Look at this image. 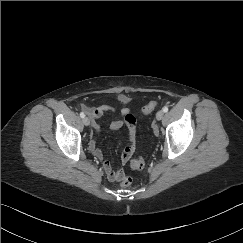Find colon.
<instances>
[{
	"label": "colon",
	"instance_id": "obj_1",
	"mask_svg": "<svg viewBox=\"0 0 243 243\" xmlns=\"http://www.w3.org/2000/svg\"><path fill=\"white\" fill-rule=\"evenodd\" d=\"M158 106V103L156 101H150L148 102L144 107L143 111L145 113H150ZM144 166V159L142 157H137L131 161V168L132 169H141ZM132 183V179L130 177H123L120 180V184L123 187H129Z\"/></svg>",
	"mask_w": 243,
	"mask_h": 243
}]
</instances>
